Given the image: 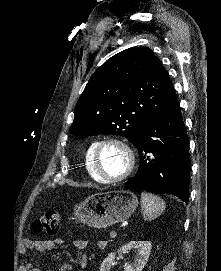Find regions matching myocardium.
Here are the masks:
<instances>
[{
  "mask_svg": "<svg viewBox=\"0 0 221 271\" xmlns=\"http://www.w3.org/2000/svg\"><path fill=\"white\" fill-rule=\"evenodd\" d=\"M95 140H99L97 142V145H90V147H93L92 153L94 156H91L93 159V166L97 173V175H103V177L106 176V173L103 172V164L101 162V153L99 150H105V147H113L114 150H121L120 154L124 155L122 156V163L126 164L125 169L126 171L123 172L120 175L107 177L105 178V183L103 184H113V183H122V178H127L133 169V166L136 165L134 162V158L132 157V154L135 150H127V142H122V140H128L127 138L120 136V135H105L104 138H97Z\"/></svg>",
  "mask_w": 221,
  "mask_h": 271,
  "instance_id": "obj_1",
  "label": "myocardium"
}]
</instances>
